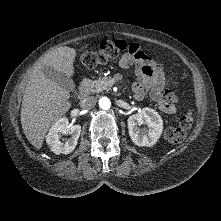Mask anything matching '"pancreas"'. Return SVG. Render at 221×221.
I'll return each instance as SVG.
<instances>
[{
  "mask_svg": "<svg viewBox=\"0 0 221 221\" xmlns=\"http://www.w3.org/2000/svg\"><path fill=\"white\" fill-rule=\"evenodd\" d=\"M115 80L111 77H103L101 79L93 80L88 88V92L98 93L103 90H109L114 84Z\"/></svg>",
  "mask_w": 221,
  "mask_h": 221,
  "instance_id": "obj_1",
  "label": "pancreas"
}]
</instances>
